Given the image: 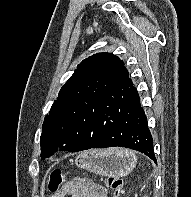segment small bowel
<instances>
[{
    "instance_id": "1",
    "label": "small bowel",
    "mask_w": 191,
    "mask_h": 197,
    "mask_svg": "<svg viewBox=\"0 0 191 197\" xmlns=\"http://www.w3.org/2000/svg\"><path fill=\"white\" fill-rule=\"evenodd\" d=\"M51 197H106V190L90 181H70Z\"/></svg>"
}]
</instances>
